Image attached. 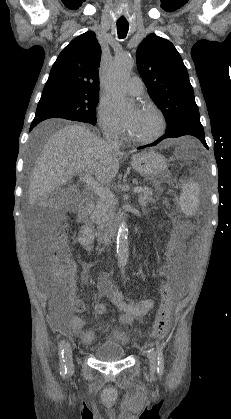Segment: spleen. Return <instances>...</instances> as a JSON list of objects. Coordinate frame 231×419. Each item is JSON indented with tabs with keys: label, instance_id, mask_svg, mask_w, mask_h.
Wrapping results in <instances>:
<instances>
[{
	"label": "spleen",
	"instance_id": "3e777b00",
	"mask_svg": "<svg viewBox=\"0 0 231 419\" xmlns=\"http://www.w3.org/2000/svg\"><path fill=\"white\" fill-rule=\"evenodd\" d=\"M199 186L194 182H186L182 185V194L180 196L181 210L185 215H192L196 212L198 206Z\"/></svg>",
	"mask_w": 231,
	"mask_h": 419
}]
</instances>
